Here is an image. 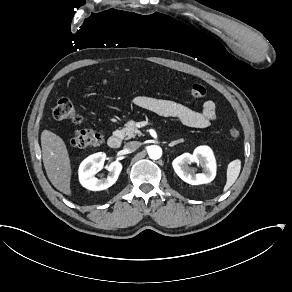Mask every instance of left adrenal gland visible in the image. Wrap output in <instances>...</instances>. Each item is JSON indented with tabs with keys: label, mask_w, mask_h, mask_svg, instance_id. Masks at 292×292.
Returning <instances> with one entry per match:
<instances>
[{
	"label": "left adrenal gland",
	"mask_w": 292,
	"mask_h": 292,
	"mask_svg": "<svg viewBox=\"0 0 292 292\" xmlns=\"http://www.w3.org/2000/svg\"><path fill=\"white\" fill-rule=\"evenodd\" d=\"M180 143H184V140L180 139V140H177V141H173L172 143H170L168 145V147H174L175 145L180 144Z\"/></svg>",
	"instance_id": "obj_1"
}]
</instances>
